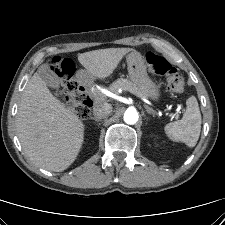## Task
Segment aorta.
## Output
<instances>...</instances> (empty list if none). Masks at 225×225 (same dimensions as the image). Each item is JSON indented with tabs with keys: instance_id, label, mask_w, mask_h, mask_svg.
<instances>
[{
	"instance_id": "aorta-1",
	"label": "aorta",
	"mask_w": 225,
	"mask_h": 225,
	"mask_svg": "<svg viewBox=\"0 0 225 225\" xmlns=\"http://www.w3.org/2000/svg\"><path fill=\"white\" fill-rule=\"evenodd\" d=\"M123 119L125 123L133 125L138 121L139 114L135 108H129L125 111Z\"/></svg>"
}]
</instances>
